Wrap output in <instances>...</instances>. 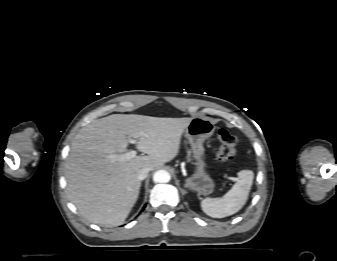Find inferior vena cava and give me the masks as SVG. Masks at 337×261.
<instances>
[{
	"label": "inferior vena cava",
	"mask_w": 337,
	"mask_h": 261,
	"mask_svg": "<svg viewBox=\"0 0 337 261\" xmlns=\"http://www.w3.org/2000/svg\"><path fill=\"white\" fill-rule=\"evenodd\" d=\"M150 170L151 169L148 168V167H144V168L140 169L137 173L138 180H144L145 178H147Z\"/></svg>",
	"instance_id": "inferior-vena-cava-1"
}]
</instances>
